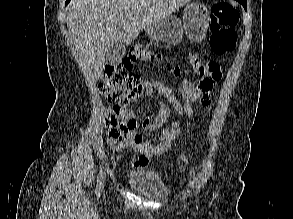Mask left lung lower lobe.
Segmentation results:
<instances>
[{
  "label": "left lung lower lobe",
  "mask_w": 293,
  "mask_h": 219,
  "mask_svg": "<svg viewBox=\"0 0 293 219\" xmlns=\"http://www.w3.org/2000/svg\"><path fill=\"white\" fill-rule=\"evenodd\" d=\"M239 3H241L244 7V9L246 10V6H247V0H237Z\"/></svg>",
  "instance_id": "1"
}]
</instances>
